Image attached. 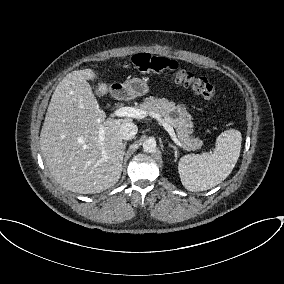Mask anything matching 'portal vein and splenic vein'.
I'll return each mask as SVG.
<instances>
[{"mask_svg":"<svg viewBox=\"0 0 284 284\" xmlns=\"http://www.w3.org/2000/svg\"><path fill=\"white\" fill-rule=\"evenodd\" d=\"M148 115V113L142 109H138L135 107H120L118 109H116L113 113V116L116 117H131V118H136V119H143ZM151 115L153 118H156L159 122H161V124L163 125V127L165 128V130L169 133L171 139L174 141V143L179 146L184 148L183 144L179 141V139L177 138L175 131L171 125V120L169 119H162L160 115L156 114V113H151L149 114ZM99 140L103 141L104 140V135H105V130L104 128H100L99 129Z\"/></svg>","mask_w":284,"mask_h":284,"instance_id":"18ae733b","label":"portal vein and splenic vein"}]
</instances>
